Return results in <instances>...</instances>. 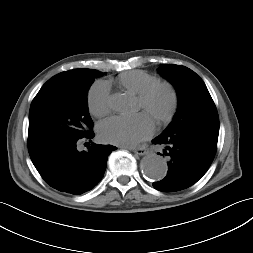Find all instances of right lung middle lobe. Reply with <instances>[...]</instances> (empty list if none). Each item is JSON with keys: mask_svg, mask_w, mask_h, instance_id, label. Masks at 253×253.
Instances as JSON below:
<instances>
[{"mask_svg": "<svg viewBox=\"0 0 253 253\" xmlns=\"http://www.w3.org/2000/svg\"><path fill=\"white\" fill-rule=\"evenodd\" d=\"M97 75V70L75 69L55 75L42 86L29 112L28 150L32 161L89 134L93 121L87 93Z\"/></svg>", "mask_w": 253, "mask_h": 253, "instance_id": "1", "label": "right lung middle lobe"}]
</instances>
